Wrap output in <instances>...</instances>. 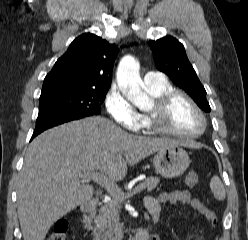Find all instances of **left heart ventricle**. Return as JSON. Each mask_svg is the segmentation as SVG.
Masks as SVG:
<instances>
[{
  "mask_svg": "<svg viewBox=\"0 0 248 240\" xmlns=\"http://www.w3.org/2000/svg\"><path fill=\"white\" fill-rule=\"evenodd\" d=\"M163 124L181 133H194L202 128V119L187 100L178 97L165 114Z\"/></svg>",
  "mask_w": 248,
  "mask_h": 240,
  "instance_id": "left-heart-ventricle-1",
  "label": "left heart ventricle"
}]
</instances>
